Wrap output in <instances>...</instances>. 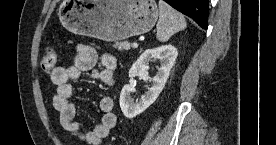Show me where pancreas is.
<instances>
[{
	"label": "pancreas",
	"instance_id": "cf45deb5",
	"mask_svg": "<svg viewBox=\"0 0 276 145\" xmlns=\"http://www.w3.org/2000/svg\"><path fill=\"white\" fill-rule=\"evenodd\" d=\"M114 47L117 48L119 51L129 50L130 43L128 41L119 42V43H116Z\"/></svg>",
	"mask_w": 276,
	"mask_h": 145
}]
</instances>
